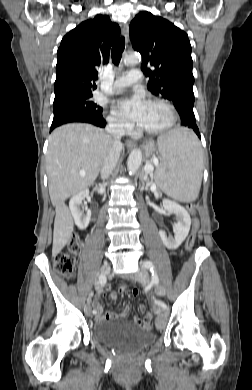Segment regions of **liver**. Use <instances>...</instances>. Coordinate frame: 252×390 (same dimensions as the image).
Returning <instances> with one entry per match:
<instances>
[{
  "label": "liver",
  "mask_w": 252,
  "mask_h": 390,
  "mask_svg": "<svg viewBox=\"0 0 252 390\" xmlns=\"http://www.w3.org/2000/svg\"><path fill=\"white\" fill-rule=\"evenodd\" d=\"M112 145L111 135L90 124H67L52 132L46 171L50 199L56 210L53 256L64 248L74 228L65 200L93 184Z\"/></svg>",
  "instance_id": "1"
}]
</instances>
